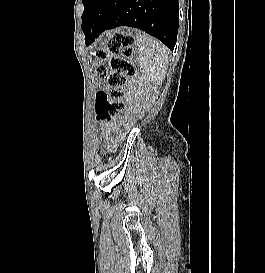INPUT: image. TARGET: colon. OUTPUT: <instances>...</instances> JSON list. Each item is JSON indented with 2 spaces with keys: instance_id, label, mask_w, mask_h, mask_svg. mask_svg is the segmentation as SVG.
Returning a JSON list of instances; mask_svg holds the SVG:
<instances>
[{
  "instance_id": "colon-1",
  "label": "colon",
  "mask_w": 265,
  "mask_h": 273,
  "mask_svg": "<svg viewBox=\"0 0 265 273\" xmlns=\"http://www.w3.org/2000/svg\"><path fill=\"white\" fill-rule=\"evenodd\" d=\"M135 38L133 35L118 32L113 34L105 49L94 52L101 60L112 54L111 71L108 72L105 66L97 69V75L105 80L109 86L107 91H99L95 96V117L97 121H107L124 110L125 85L127 78L135 74L136 69L129 61L134 52ZM100 136H97V144L101 152H108L112 148V136H109L107 128L99 129Z\"/></svg>"
}]
</instances>
